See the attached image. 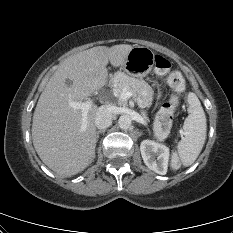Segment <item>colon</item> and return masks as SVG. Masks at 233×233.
Segmentation results:
<instances>
[{
    "instance_id": "5ec220e1",
    "label": "colon",
    "mask_w": 233,
    "mask_h": 233,
    "mask_svg": "<svg viewBox=\"0 0 233 233\" xmlns=\"http://www.w3.org/2000/svg\"><path fill=\"white\" fill-rule=\"evenodd\" d=\"M154 71L159 76L167 75V83L173 90V95L160 109L155 123V136L158 140H164L171 128L174 112L179 104V94L184 90L185 81L178 71L170 72V62L161 55L154 56ZM170 166L173 170L181 167V161L176 153L170 158Z\"/></svg>"
}]
</instances>
